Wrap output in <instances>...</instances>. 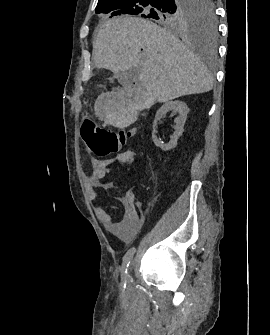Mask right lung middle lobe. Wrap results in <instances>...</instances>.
Wrapping results in <instances>:
<instances>
[{
  "label": "right lung middle lobe",
  "instance_id": "right-lung-middle-lobe-1",
  "mask_svg": "<svg viewBox=\"0 0 270 335\" xmlns=\"http://www.w3.org/2000/svg\"><path fill=\"white\" fill-rule=\"evenodd\" d=\"M213 0H99L96 13L100 18L140 15L158 20L173 30L195 32L213 42L216 17Z\"/></svg>",
  "mask_w": 270,
  "mask_h": 335
}]
</instances>
